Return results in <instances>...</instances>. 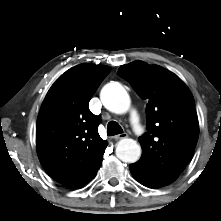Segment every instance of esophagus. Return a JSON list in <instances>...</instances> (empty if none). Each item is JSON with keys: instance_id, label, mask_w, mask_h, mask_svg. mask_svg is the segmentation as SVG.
<instances>
[{"instance_id": "34e87169", "label": "esophagus", "mask_w": 221, "mask_h": 221, "mask_svg": "<svg viewBox=\"0 0 221 221\" xmlns=\"http://www.w3.org/2000/svg\"><path fill=\"white\" fill-rule=\"evenodd\" d=\"M127 137H128V134H127V133H122V134H119V135L114 136V138H115L116 140L124 139V138H127Z\"/></svg>"}]
</instances>
